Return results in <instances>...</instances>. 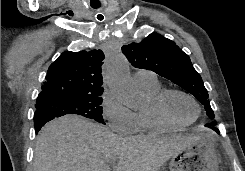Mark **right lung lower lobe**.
<instances>
[{
	"label": "right lung lower lobe",
	"mask_w": 245,
	"mask_h": 171,
	"mask_svg": "<svg viewBox=\"0 0 245 171\" xmlns=\"http://www.w3.org/2000/svg\"><path fill=\"white\" fill-rule=\"evenodd\" d=\"M55 117L44 110L38 109L34 114V125H35V132L41 129V127L48 121L54 119Z\"/></svg>",
	"instance_id": "1"
}]
</instances>
